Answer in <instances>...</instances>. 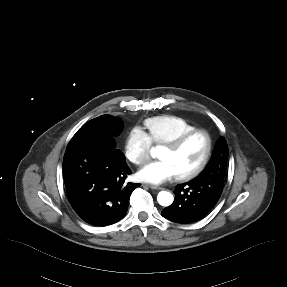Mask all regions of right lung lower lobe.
<instances>
[{
    "label": "right lung lower lobe",
    "instance_id": "98d812e1",
    "mask_svg": "<svg viewBox=\"0 0 287 287\" xmlns=\"http://www.w3.org/2000/svg\"><path fill=\"white\" fill-rule=\"evenodd\" d=\"M131 173L119 149L82 144L68 147L63 178L73 210L86 223L107 226L127 213L131 193L140 184L126 182Z\"/></svg>",
    "mask_w": 287,
    "mask_h": 287
}]
</instances>
